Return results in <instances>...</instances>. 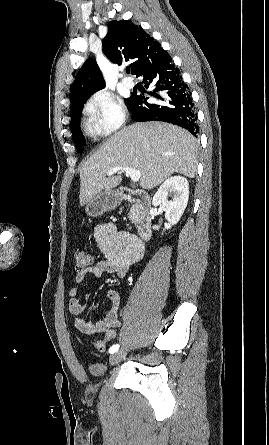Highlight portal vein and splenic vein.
I'll return each instance as SVG.
<instances>
[{
  "mask_svg": "<svg viewBox=\"0 0 269 445\" xmlns=\"http://www.w3.org/2000/svg\"><path fill=\"white\" fill-rule=\"evenodd\" d=\"M119 171L125 172L126 175L130 176V178L133 182H138L140 180L141 172L139 170L133 169L130 167H122V166H117V167L111 168L110 170L107 171V176H112L113 174H115Z\"/></svg>",
  "mask_w": 269,
  "mask_h": 445,
  "instance_id": "portal-vein-and-splenic-vein-1",
  "label": "portal vein and splenic vein"
}]
</instances>
